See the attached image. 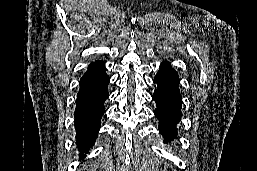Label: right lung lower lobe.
<instances>
[{
	"mask_svg": "<svg viewBox=\"0 0 257 171\" xmlns=\"http://www.w3.org/2000/svg\"><path fill=\"white\" fill-rule=\"evenodd\" d=\"M109 76L102 61L90 64L80 80L74 112L76 139L80 157L88 152L96 140L100 121L105 112L104 102L108 98Z\"/></svg>",
	"mask_w": 257,
	"mask_h": 171,
	"instance_id": "right-lung-lower-lobe-1",
	"label": "right lung lower lobe"
}]
</instances>
